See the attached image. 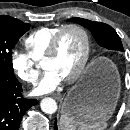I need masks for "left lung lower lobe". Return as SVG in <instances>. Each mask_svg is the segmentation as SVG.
Listing matches in <instances>:
<instances>
[{"instance_id": "1", "label": "left lung lower lobe", "mask_w": 130, "mask_h": 130, "mask_svg": "<svg viewBox=\"0 0 130 130\" xmlns=\"http://www.w3.org/2000/svg\"><path fill=\"white\" fill-rule=\"evenodd\" d=\"M93 82V78L88 76L85 81H84V87H89ZM54 130H58L57 129V121L54 123Z\"/></svg>"}]
</instances>
